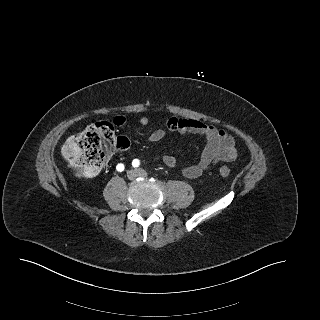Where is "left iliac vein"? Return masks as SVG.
<instances>
[{
    "label": "left iliac vein",
    "instance_id": "left-iliac-vein-1",
    "mask_svg": "<svg viewBox=\"0 0 320 320\" xmlns=\"http://www.w3.org/2000/svg\"><path fill=\"white\" fill-rule=\"evenodd\" d=\"M135 171H136V173H137L138 176H142V177L147 176V172H146L145 170L137 169V170H135Z\"/></svg>",
    "mask_w": 320,
    "mask_h": 320
}]
</instances>
